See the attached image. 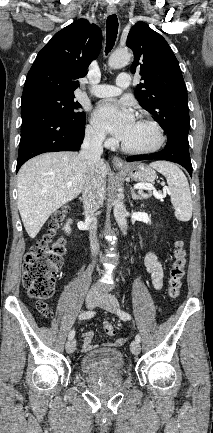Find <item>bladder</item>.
<instances>
[{
	"label": "bladder",
	"instance_id": "bladder-1",
	"mask_svg": "<svg viewBox=\"0 0 213 433\" xmlns=\"http://www.w3.org/2000/svg\"><path fill=\"white\" fill-rule=\"evenodd\" d=\"M80 369L88 376L118 374L124 369V357L119 349H96L82 356L80 360Z\"/></svg>",
	"mask_w": 213,
	"mask_h": 433
}]
</instances>
